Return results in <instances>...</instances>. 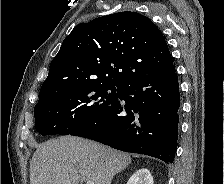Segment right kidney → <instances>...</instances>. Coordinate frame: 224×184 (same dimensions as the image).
Segmentation results:
<instances>
[{
  "instance_id": "right-kidney-1",
  "label": "right kidney",
  "mask_w": 224,
  "mask_h": 184,
  "mask_svg": "<svg viewBox=\"0 0 224 184\" xmlns=\"http://www.w3.org/2000/svg\"><path fill=\"white\" fill-rule=\"evenodd\" d=\"M127 184H154L148 169H139L128 180Z\"/></svg>"
}]
</instances>
